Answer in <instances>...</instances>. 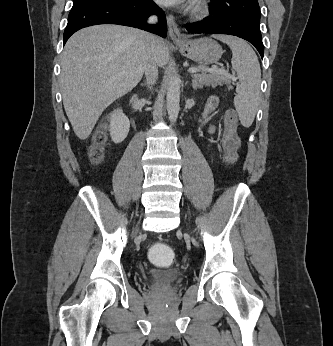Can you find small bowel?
<instances>
[{
    "label": "small bowel",
    "mask_w": 333,
    "mask_h": 346,
    "mask_svg": "<svg viewBox=\"0 0 333 346\" xmlns=\"http://www.w3.org/2000/svg\"><path fill=\"white\" fill-rule=\"evenodd\" d=\"M217 105H218V98L216 96L210 97L207 100V103L203 112V116L206 117L210 115L211 113H213L215 109L217 108ZM213 132H214V127H210L209 133L213 134Z\"/></svg>",
    "instance_id": "1"
}]
</instances>
